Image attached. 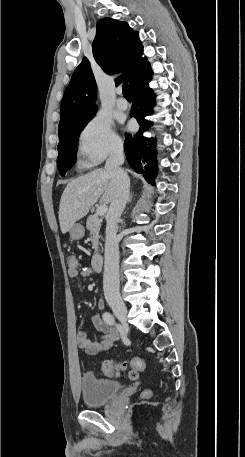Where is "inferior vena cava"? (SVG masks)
Returning <instances> with one entry per match:
<instances>
[{
	"label": "inferior vena cava",
	"instance_id": "inferior-vena-cava-1",
	"mask_svg": "<svg viewBox=\"0 0 245 457\" xmlns=\"http://www.w3.org/2000/svg\"><path fill=\"white\" fill-rule=\"evenodd\" d=\"M124 162L123 144L119 142L110 152L105 164V174H109L115 194L109 206L106 224L105 261L103 289L105 297H117L119 295V247L117 235V220L121 216L129 196L130 180L128 174L120 168Z\"/></svg>",
	"mask_w": 245,
	"mask_h": 457
}]
</instances>
